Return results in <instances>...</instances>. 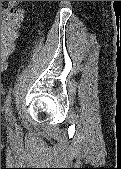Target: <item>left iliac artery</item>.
I'll return each instance as SVG.
<instances>
[{"label":"left iliac artery","mask_w":121,"mask_h":169,"mask_svg":"<svg viewBox=\"0 0 121 169\" xmlns=\"http://www.w3.org/2000/svg\"><path fill=\"white\" fill-rule=\"evenodd\" d=\"M5 115H6V118H7L10 122H15V118H14L13 113H12L11 94H10V93L7 95V99H6Z\"/></svg>","instance_id":"1"}]
</instances>
